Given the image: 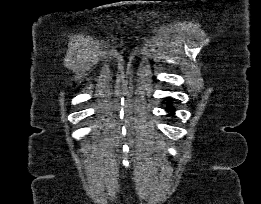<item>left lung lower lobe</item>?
<instances>
[{
  "mask_svg": "<svg viewBox=\"0 0 261 204\" xmlns=\"http://www.w3.org/2000/svg\"><path fill=\"white\" fill-rule=\"evenodd\" d=\"M168 103H169V102H168ZM166 110H167V111H171V112H172L171 115H174L175 109H174L170 104L167 105Z\"/></svg>",
  "mask_w": 261,
  "mask_h": 204,
  "instance_id": "1",
  "label": "left lung lower lobe"
}]
</instances>
